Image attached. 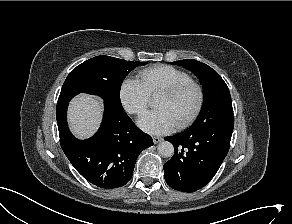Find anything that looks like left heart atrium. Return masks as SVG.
<instances>
[{
  "label": "left heart atrium",
  "mask_w": 292,
  "mask_h": 224,
  "mask_svg": "<svg viewBox=\"0 0 292 224\" xmlns=\"http://www.w3.org/2000/svg\"><path fill=\"white\" fill-rule=\"evenodd\" d=\"M138 126L146 133L162 135L171 132L176 123L164 109H156L145 113L137 121Z\"/></svg>",
  "instance_id": "obj_1"
}]
</instances>
